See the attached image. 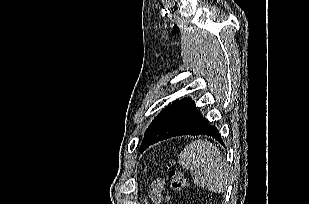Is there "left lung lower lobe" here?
<instances>
[{"instance_id": "1", "label": "left lung lower lobe", "mask_w": 309, "mask_h": 204, "mask_svg": "<svg viewBox=\"0 0 309 204\" xmlns=\"http://www.w3.org/2000/svg\"><path fill=\"white\" fill-rule=\"evenodd\" d=\"M200 134L211 136L224 144L216 127L207 123L190 98H184L172 104L157 118L146 133L140 151L143 152L151 144L177 135Z\"/></svg>"}]
</instances>
